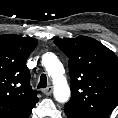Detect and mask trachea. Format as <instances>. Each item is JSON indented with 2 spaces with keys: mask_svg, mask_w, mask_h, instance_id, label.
<instances>
[{
  "mask_svg": "<svg viewBox=\"0 0 118 118\" xmlns=\"http://www.w3.org/2000/svg\"><path fill=\"white\" fill-rule=\"evenodd\" d=\"M46 87H47V76H46V74H42L40 76L38 88H46Z\"/></svg>",
  "mask_w": 118,
  "mask_h": 118,
  "instance_id": "1",
  "label": "trachea"
}]
</instances>
